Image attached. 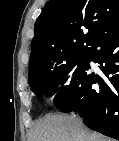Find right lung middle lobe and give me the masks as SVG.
<instances>
[{
	"instance_id": "right-lung-middle-lobe-1",
	"label": "right lung middle lobe",
	"mask_w": 119,
	"mask_h": 141,
	"mask_svg": "<svg viewBox=\"0 0 119 141\" xmlns=\"http://www.w3.org/2000/svg\"><path fill=\"white\" fill-rule=\"evenodd\" d=\"M88 63V57H77L62 66L30 74V88L38 97H50L57 92L54 103L62 106L78 87L89 68Z\"/></svg>"
}]
</instances>
